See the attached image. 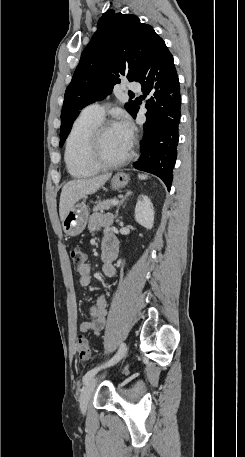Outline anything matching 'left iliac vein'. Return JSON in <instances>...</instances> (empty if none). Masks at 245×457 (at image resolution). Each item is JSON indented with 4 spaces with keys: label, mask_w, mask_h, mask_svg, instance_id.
<instances>
[{
    "label": "left iliac vein",
    "mask_w": 245,
    "mask_h": 457,
    "mask_svg": "<svg viewBox=\"0 0 245 457\" xmlns=\"http://www.w3.org/2000/svg\"><path fill=\"white\" fill-rule=\"evenodd\" d=\"M97 379L92 377L86 384L84 391L80 395V409L83 413L86 412L90 399L93 396V391L96 387Z\"/></svg>",
    "instance_id": "4c4485c4"
}]
</instances>
